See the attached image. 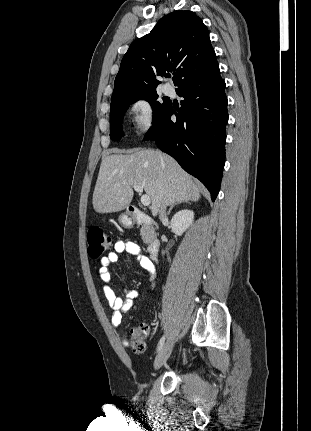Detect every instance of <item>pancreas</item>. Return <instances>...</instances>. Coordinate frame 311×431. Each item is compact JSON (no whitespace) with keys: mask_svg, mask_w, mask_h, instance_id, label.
I'll return each mask as SVG.
<instances>
[{"mask_svg":"<svg viewBox=\"0 0 311 431\" xmlns=\"http://www.w3.org/2000/svg\"><path fill=\"white\" fill-rule=\"evenodd\" d=\"M140 235H142L144 243H152V241L156 239L154 227H151V225H146V223H143L140 229Z\"/></svg>","mask_w":311,"mask_h":431,"instance_id":"pancreas-1","label":"pancreas"}]
</instances>
